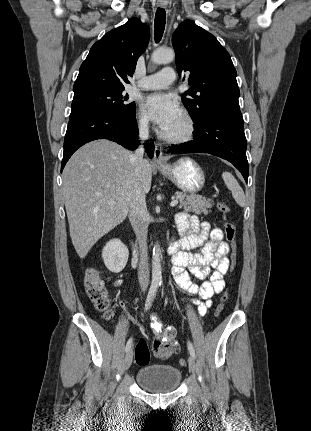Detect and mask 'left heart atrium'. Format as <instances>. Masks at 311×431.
<instances>
[{
	"label": "left heart atrium",
	"instance_id": "left-heart-atrium-1",
	"mask_svg": "<svg viewBox=\"0 0 311 431\" xmlns=\"http://www.w3.org/2000/svg\"><path fill=\"white\" fill-rule=\"evenodd\" d=\"M144 108L163 133L181 115L178 100L169 94L158 93L148 96L144 101Z\"/></svg>",
	"mask_w": 311,
	"mask_h": 431
}]
</instances>
